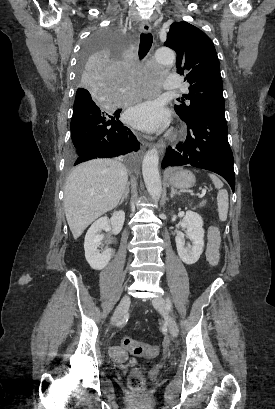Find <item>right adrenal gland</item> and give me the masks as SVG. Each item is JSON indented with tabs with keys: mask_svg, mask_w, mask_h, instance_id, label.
<instances>
[{
	"mask_svg": "<svg viewBox=\"0 0 275 409\" xmlns=\"http://www.w3.org/2000/svg\"><path fill=\"white\" fill-rule=\"evenodd\" d=\"M129 186H130V182H127L125 192H123V194H122V198H121V200L119 202V205H122V202H123L124 198H127L128 192H129Z\"/></svg>",
	"mask_w": 275,
	"mask_h": 409,
	"instance_id": "right-adrenal-gland-1",
	"label": "right adrenal gland"
}]
</instances>
